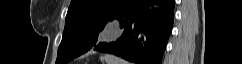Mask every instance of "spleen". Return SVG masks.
I'll return each mask as SVG.
<instances>
[{
	"label": "spleen",
	"instance_id": "spleen-1",
	"mask_svg": "<svg viewBox=\"0 0 242 64\" xmlns=\"http://www.w3.org/2000/svg\"><path fill=\"white\" fill-rule=\"evenodd\" d=\"M101 61L106 62V64H129L127 61L120 59L113 55H104L101 58Z\"/></svg>",
	"mask_w": 242,
	"mask_h": 64
}]
</instances>
